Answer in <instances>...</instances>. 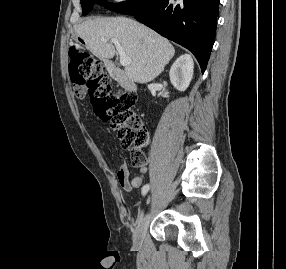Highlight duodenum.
I'll list each match as a JSON object with an SVG mask.
<instances>
[{
	"instance_id": "duodenum-1",
	"label": "duodenum",
	"mask_w": 286,
	"mask_h": 269,
	"mask_svg": "<svg viewBox=\"0 0 286 269\" xmlns=\"http://www.w3.org/2000/svg\"><path fill=\"white\" fill-rule=\"evenodd\" d=\"M106 68L111 78L115 79L120 85L131 93L136 92L135 83L126 75V73L113 62H107Z\"/></svg>"
}]
</instances>
